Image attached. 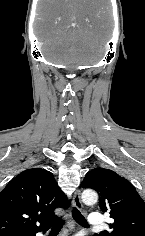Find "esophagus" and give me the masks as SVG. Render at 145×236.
<instances>
[{"instance_id":"34e87169","label":"esophagus","mask_w":145,"mask_h":236,"mask_svg":"<svg viewBox=\"0 0 145 236\" xmlns=\"http://www.w3.org/2000/svg\"><path fill=\"white\" fill-rule=\"evenodd\" d=\"M80 190H77L73 197V206L79 210L83 209V204L81 201Z\"/></svg>"}]
</instances>
